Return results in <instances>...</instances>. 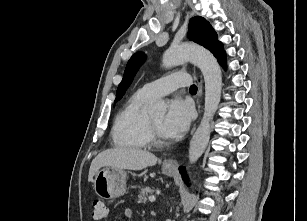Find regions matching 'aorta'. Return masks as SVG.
Returning <instances> with one entry per match:
<instances>
[{
	"instance_id": "obj_1",
	"label": "aorta",
	"mask_w": 307,
	"mask_h": 221,
	"mask_svg": "<svg viewBox=\"0 0 307 221\" xmlns=\"http://www.w3.org/2000/svg\"><path fill=\"white\" fill-rule=\"evenodd\" d=\"M185 61H191L200 68L205 82L204 115L189 147V162L193 164L203 154L210 139L211 121L221 98L222 73L213 54L199 46L181 45L169 48L163 54L162 63L165 68H172ZM149 110L152 113L164 114L166 105L163 101H158L151 105Z\"/></svg>"
}]
</instances>
